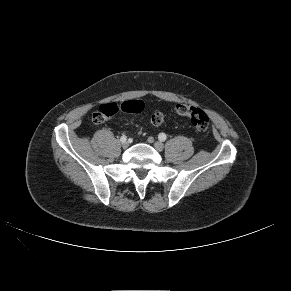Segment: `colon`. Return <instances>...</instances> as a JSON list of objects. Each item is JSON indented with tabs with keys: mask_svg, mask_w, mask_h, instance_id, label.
Listing matches in <instances>:
<instances>
[{
	"mask_svg": "<svg viewBox=\"0 0 291 291\" xmlns=\"http://www.w3.org/2000/svg\"><path fill=\"white\" fill-rule=\"evenodd\" d=\"M144 109V103L141 100H128L121 104L106 103L102 104L99 109L93 114L92 118L95 123H102L112 118L118 112L140 113ZM178 115L186 117L190 120L192 126L198 131H205L209 126V118L206 113L200 108L193 107L187 104H178L175 107ZM151 122L155 126H159L164 122L162 112H155L151 116Z\"/></svg>",
	"mask_w": 291,
	"mask_h": 291,
	"instance_id": "obj_1",
	"label": "colon"
}]
</instances>
